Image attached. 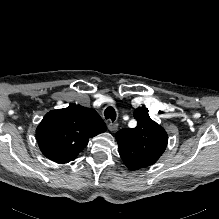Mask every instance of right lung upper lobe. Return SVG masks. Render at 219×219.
<instances>
[{"label":"right lung upper lobe","instance_id":"cb5924a9","mask_svg":"<svg viewBox=\"0 0 219 219\" xmlns=\"http://www.w3.org/2000/svg\"><path fill=\"white\" fill-rule=\"evenodd\" d=\"M106 130L95 110L72 104L48 112L36 129V138L44 156L65 164L77 157L89 138Z\"/></svg>","mask_w":219,"mask_h":219}]
</instances>
